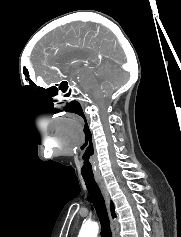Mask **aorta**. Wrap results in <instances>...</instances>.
I'll return each instance as SVG.
<instances>
[{
    "instance_id": "1",
    "label": "aorta",
    "mask_w": 181,
    "mask_h": 237,
    "mask_svg": "<svg viewBox=\"0 0 181 237\" xmlns=\"http://www.w3.org/2000/svg\"><path fill=\"white\" fill-rule=\"evenodd\" d=\"M98 231L99 227L96 222H88L83 224L78 237H97Z\"/></svg>"
}]
</instances>
